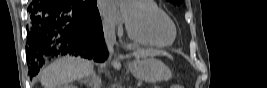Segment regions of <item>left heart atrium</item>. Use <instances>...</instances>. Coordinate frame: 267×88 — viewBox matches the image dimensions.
Masks as SVG:
<instances>
[{
	"label": "left heart atrium",
	"mask_w": 267,
	"mask_h": 88,
	"mask_svg": "<svg viewBox=\"0 0 267 88\" xmlns=\"http://www.w3.org/2000/svg\"><path fill=\"white\" fill-rule=\"evenodd\" d=\"M101 10L104 15L110 18L119 19L125 18L127 20L126 13H121L112 2H104L101 6Z\"/></svg>",
	"instance_id": "left-heart-atrium-1"
}]
</instances>
